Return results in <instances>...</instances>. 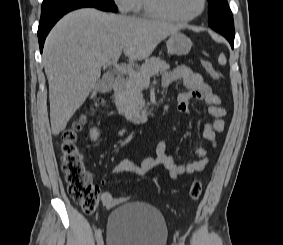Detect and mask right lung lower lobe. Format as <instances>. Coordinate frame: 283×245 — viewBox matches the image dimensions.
I'll return each instance as SVG.
<instances>
[{"mask_svg":"<svg viewBox=\"0 0 283 245\" xmlns=\"http://www.w3.org/2000/svg\"><path fill=\"white\" fill-rule=\"evenodd\" d=\"M84 7H94L103 11H111V12L118 11L114 3L86 1V2L72 3L41 14V19L38 27V40H39L41 53L43 50L45 38L48 35L51 28L54 26V24L66 13Z\"/></svg>","mask_w":283,"mask_h":245,"instance_id":"98d812e1","label":"right lung lower lobe"}]
</instances>
